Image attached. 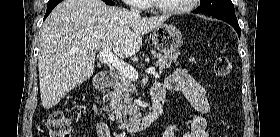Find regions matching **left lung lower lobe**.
Returning <instances> with one entry per match:
<instances>
[{"label":"left lung lower lobe","mask_w":280,"mask_h":137,"mask_svg":"<svg viewBox=\"0 0 280 137\" xmlns=\"http://www.w3.org/2000/svg\"><path fill=\"white\" fill-rule=\"evenodd\" d=\"M217 19H220V20H223L225 22H227L228 24H230L237 32L239 38H240V34H241V29L239 27V24H238V21L237 19H229V18H224V17H216V16H213Z\"/></svg>","instance_id":"1"}]
</instances>
